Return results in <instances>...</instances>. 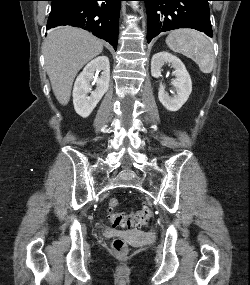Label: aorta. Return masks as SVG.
<instances>
[{"label": "aorta", "mask_w": 250, "mask_h": 285, "mask_svg": "<svg viewBox=\"0 0 250 285\" xmlns=\"http://www.w3.org/2000/svg\"><path fill=\"white\" fill-rule=\"evenodd\" d=\"M137 3H138L137 1L132 2L134 8H137Z\"/></svg>", "instance_id": "1"}]
</instances>
